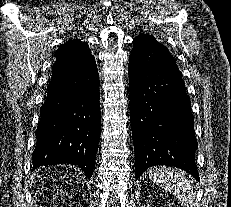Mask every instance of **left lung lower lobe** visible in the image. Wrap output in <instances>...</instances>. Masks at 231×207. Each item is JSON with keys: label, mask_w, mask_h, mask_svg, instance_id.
I'll return each instance as SVG.
<instances>
[{"label": "left lung lower lobe", "mask_w": 231, "mask_h": 207, "mask_svg": "<svg viewBox=\"0 0 231 207\" xmlns=\"http://www.w3.org/2000/svg\"><path fill=\"white\" fill-rule=\"evenodd\" d=\"M129 62L135 178L151 166L168 165L200 180L191 102L174 57L155 38H135Z\"/></svg>", "instance_id": "0a47b994"}]
</instances>
